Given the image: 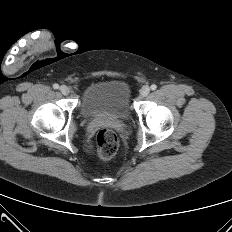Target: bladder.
I'll return each instance as SVG.
<instances>
[{
  "instance_id": "bladder-1",
  "label": "bladder",
  "mask_w": 232,
  "mask_h": 232,
  "mask_svg": "<svg viewBox=\"0 0 232 232\" xmlns=\"http://www.w3.org/2000/svg\"><path fill=\"white\" fill-rule=\"evenodd\" d=\"M79 109L85 118L126 119L132 112L129 85L118 78L95 82L82 94Z\"/></svg>"
}]
</instances>
